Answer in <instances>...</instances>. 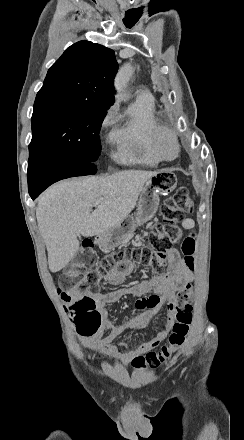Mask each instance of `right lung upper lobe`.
I'll list each match as a JSON object with an SVG mask.
<instances>
[{"instance_id": "cb5924a9", "label": "right lung upper lobe", "mask_w": 244, "mask_h": 440, "mask_svg": "<svg viewBox=\"0 0 244 440\" xmlns=\"http://www.w3.org/2000/svg\"><path fill=\"white\" fill-rule=\"evenodd\" d=\"M117 69L113 50L79 41L48 70L35 101H81L109 108L114 102Z\"/></svg>"}]
</instances>
